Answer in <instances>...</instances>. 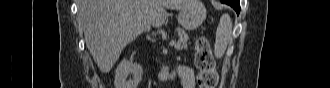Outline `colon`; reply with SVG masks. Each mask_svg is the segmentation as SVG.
<instances>
[{"label": "colon", "instance_id": "1", "mask_svg": "<svg viewBox=\"0 0 330 88\" xmlns=\"http://www.w3.org/2000/svg\"><path fill=\"white\" fill-rule=\"evenodd\" d=\"M195 63L199 71V87L215 88L219 77L210 43L205 37L198 38L195 43Z\"/></svg>", "mask_w": 330, "mask_h": 88}]
</instances>
